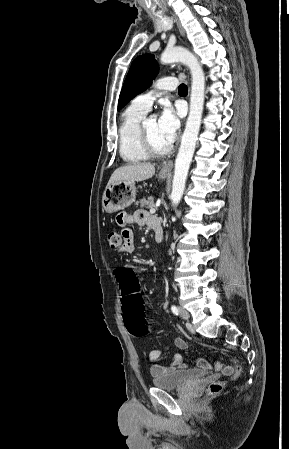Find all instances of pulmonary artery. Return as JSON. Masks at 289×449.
Instances as JSON below:
<instances>
[{"label": "pulmonary artery", "mask_w": 289, "mask_h": 449, "mask_svg": "<svg viewBox=\"0 0 289 449\" xmlns=\"http://www.w3.org/2000/svg\"><path fill=\"white\" fill-rule=\"evenodd\" d=\"M176 87H177V79L175 77L159 78L155 82L153 90L138 95L137 97L134 98L132 104L138 108L148 111L151 108L156 97L160 95L162 91L174 90L176 89Z\"/></svg>", "instance_id": "e3ab8cb5"}]
</instances>
